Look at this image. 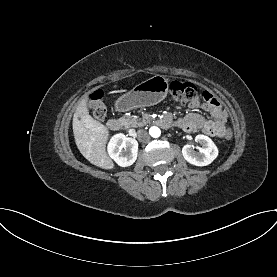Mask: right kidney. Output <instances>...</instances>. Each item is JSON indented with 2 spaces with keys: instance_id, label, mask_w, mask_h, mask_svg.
Masks as SVG:
<instances>
[{
  "instance_id": "1",
  "label": "right kidney",
  "mask_w": 277,
  "mask_h": 277,
  "mask_svg": "<svg viewBox=\"0 0 277 277\" xmlns=\"http://www.w3.org/2000/svg\"><path fill=\"white\" fill-rule=\"evenodd\" d=\"M108 154L119 166H130L137 159L138 142L122 133L116 134L108 144Z\"/></svg>"
}]
</instances>
